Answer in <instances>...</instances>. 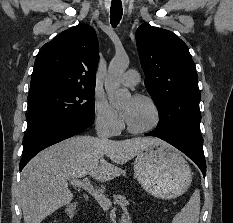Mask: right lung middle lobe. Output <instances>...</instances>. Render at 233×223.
Returning a JSON list of instances; mask_svg holds the SVG:
<instances>
[{"instance_id": "dd1d6c3e", "label": "right lung middle lobe", "mask_w": 233, "mask_h": 223, "mask_svg": "<svg viewBox=\"0 0 233 223\" xmlns=\"http://www.w3.org/2000/svg\"><path fill=\"white\" fill-rule=\"evenodd\" d=\"M94 88H52L28 95L25 142L69 118L94 114Z\"/></svg>"}]
</instances>
